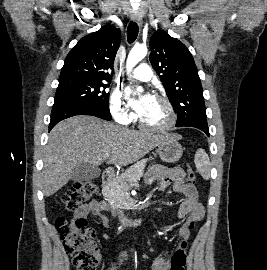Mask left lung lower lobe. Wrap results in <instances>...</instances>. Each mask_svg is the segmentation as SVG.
<instances>
[{
  "instance_id": "obj_1",
  "label": "left lung lower lobe",
  "mask_w": 267,
  "mask_h": 270,
  "mask_svg": "<svg viewBox=\"0 0 267 270\" xmlns=\"http://www.w3.org/2000/svg\"><path fill=\"white\" fill-rule=\"evenodd\" d=\"M195 127L198 128L200 130H202L203 132L206 133L207 136H209V129H208V125L204 124V123H200V122H191V123H187L181 126H176V127Z\"/></svg>"
}]
</instances>
